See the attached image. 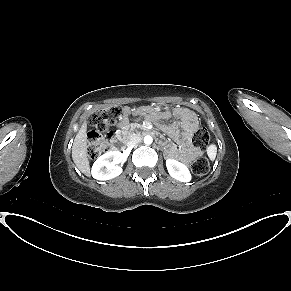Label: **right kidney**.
<instances>
[{"label":"right kidney","mask_w":291,"mask_h":291,"mask_svg":"<svg viewBox=\"0 0 291 291\" xmlns=\"http://www.w3.org/2000/svg\"><path fill=\"white\" fill-rule=\"evenodd\" d=\"M121 161V152H106L94 162L91 170L93 178L97 180H109L119 176L122 173V168L117 164Z\"/></svg>","instance_id":"right-kidney-1"}]
</instances>
